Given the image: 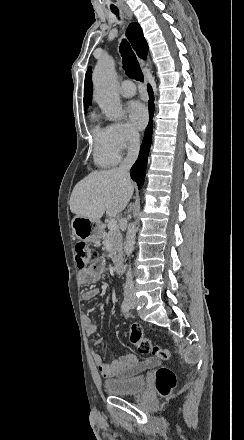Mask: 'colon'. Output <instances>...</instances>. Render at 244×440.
I'll return each mask as SVG.
<instances>
[{
	"label": "colon",
	"instance_id": "obj_1",
	"mask_svg": "<svg viewBox=\"0 0 244 440\" xmlns=\"http://www.w3.org/2000/svg\"><path fill=\"white\" fill-rule=\"evenodd\" d=\"M98 260V252L95 249H89L84 241H79L75 245V262L79 271L86 269L90 263ZM134 330H130V342L135 344L141 354H153L163 360L171 358L169 349H162L158 344L147 338L143 334L140 325L133 324ZM136 331V332H135ZM156 389L160 396L167 397L176 385V377L173 372L162 367L157 371L155 376Z\"/></svg>",
	"mask_w": 244,
	"mask_h": 440
}]
</instances>
